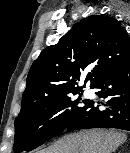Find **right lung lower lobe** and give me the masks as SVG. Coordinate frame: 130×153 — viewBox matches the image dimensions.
I'll return each instance as SVG.
<instances>
[{
	"mask_svg": "<svg viewBox=\"0 0 130 153\" xmlns=\"http://www.w3.org/2000/svg\"><path fill=\"white\" fill-rule=\"evenodd\" d=\"M99 97L108 98L105 109L90 100L65 130L118 128L130 131V60L99 79L93 87Z\"/></svg>",
	"mask_w": 130,
	"mask_h": 153,
	"instance_id": "right-lung-lower-lobe-1",
	"label": "right lung lower lobe"
}]
</instances>
